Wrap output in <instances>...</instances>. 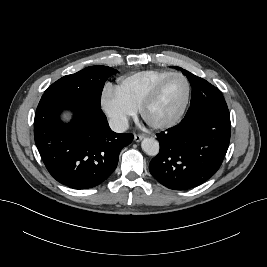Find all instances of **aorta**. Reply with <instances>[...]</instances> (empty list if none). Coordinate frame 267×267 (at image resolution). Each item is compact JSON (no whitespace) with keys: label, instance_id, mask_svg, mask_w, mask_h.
<instances>
[{"label":"aorta","instance_id":"obj_1","mask_svg":"<svg viewBox=\"0 0 267 267\" xmlns=\"http://www.w3.org/2000/svg\"><path fill=\"white\" fill-rule=\"evenodd\" d=\"M141 147L149 156H156L159 153V143L154 138H144L141 142Z\"/></svg>","mask_w":267,"mask_h":267}]
</instances>
